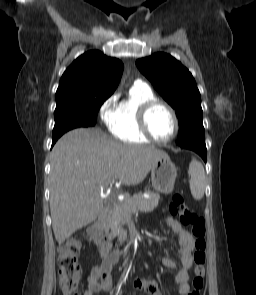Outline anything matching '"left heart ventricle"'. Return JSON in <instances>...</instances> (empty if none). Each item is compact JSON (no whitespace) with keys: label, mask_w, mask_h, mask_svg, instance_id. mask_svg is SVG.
<instances>
[{"label":"left heart ventricle","mask_w":256,"mask_h":295,"mask_svg":"<svg viewBox=\"0 0 256 295\" xmlns=\"http://www.w3.org/2000/svg\"><path fill=\"white\" fill-rule=\"evenodd\" d=\"M149 126L158 139L169 138L174 130V122L170 113L164 107H155L149 114Z\"/></svg>","instance_id":"b2bd125f"}]
</instances>
